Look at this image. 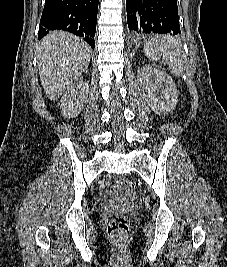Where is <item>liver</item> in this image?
I'll use <instances>...</instances> for the list:
<instances>
[{
	"mask_svg": "<svg viewBox=\"0 0 227 267\" xmlns=\"http://www.w3.org/2000/svg\"><path fill=\"white\" fill-rule=\"evenodd\" d=\"M90 46L82 39L54 31L44 37L37 51L42 87L51 101L57 100L90 63Z\"/></svg>",
	"mask_w": 227,
	"mask_h": 267,
	"instance_id": "6515ba94",
	"label": "liver"
}]
</instances>
